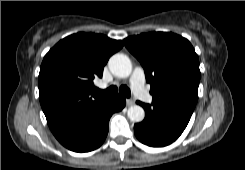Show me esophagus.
Returning <instances> with one entry per match:
<instances>
[{"instance_id": "34e87169", "label": "esophagus", "mask_w": 245, "mask_h": 170, "mask_svg": "<svg viewBox=\"0 0 245 170\" xmlns=\"http://www.w3.org/2000/svg\"><path fill=\"white\" fill-rule=\"evenodd\" d=\"M126 104H127V106H132V105H134V101L132 99H127Z\"/></svg>"}]
</instances>
